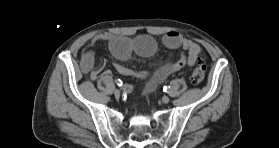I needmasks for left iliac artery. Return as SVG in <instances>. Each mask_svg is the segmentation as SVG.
<instances>
[{
    "instance_id": "left-iliac-artery-1",
    "label": "left iliac artery",
    "mask_w": 279,
    "mask_h": 148,
    "mask_svg": "<svg viewBox=\"0 0 279 148\" xmlns=\"http://www.w3.org/2000/svg\"><path fill=\"white\" fill-rule=\"evenodd\" d=\"M169 89H170V87H169V86H164V87H163V91H164V92H168V91H169Z\"/></svg>"
}]
</instances>
